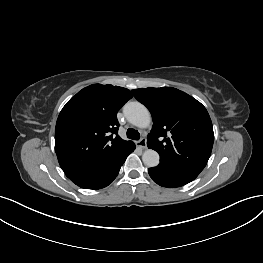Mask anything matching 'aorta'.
<instances>
[{"label":"aorta","instance_id":"762f6f07","mask_svg":"<svg viewBox=\"0 0 263 263\" xmlns=\"http://www.w3.org/2000/svg\"><path fill=\"white\" fill-rule=\"evenodd\" d=\"M123 112L127 120L138 128H147L151 123L149 110L140 102L127 103ZM159 159V154L152 149H147L142 155L143 163L148 167L157 166Z\"/></svg>","mask_w":263,"mask_h":263}]
</instances>
